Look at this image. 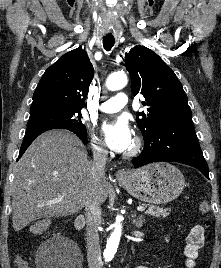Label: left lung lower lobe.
Masks as SVG:
<instances>
[{
    "label": "left lung lower lobe",
    "instance_id": "obj_1",
    "mask_svg": "<svg viewBox=\"0 0 221 268\" xmlns=\"http://www.w3.org/2000/svg\"><path fill=\"white\" fill-rule=\"evenodd\" d=\"M158 161L179 162L193 166L209 179L192 123H163L144 140L142 153L132 160L134 168Z\"/></svg>",
    "mask_w": 221,
    "mask_h": 268
}]
</instances>
